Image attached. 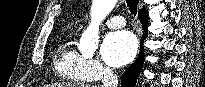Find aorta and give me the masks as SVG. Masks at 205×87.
<instances>
[{
    "label": "aorta",
    "mask_w": 205,
    "mask_h": 87,
    "mask_svg": "<svg viewBox=\"0 0 205 87\" xmlns=\"http://www.w3.org/2000/svg\"><path fill=\"white\" fill-rule=\"evenodd\" d=\"M117 0H93L91 6V22L83 32L78 48L83 53L93 54L99 44V25L113 10Z\"/></svg>",
    "instance_id": "obj_1"
}]
</instances>
